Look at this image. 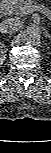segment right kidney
<instances>
[{
    "label": "right kidney",
    "instance_id": "1",
    "mask_svg": "<svg viewBox=\"0 0 51 153\" xmlns=\"http://www.w3.org/2000/svg\"><path fill=\"white\" fill-rule=\"evenodd\" d=\"M0 53H1V60L4 59V53H5V50L3 49V45L0 47Z\"/></svg>",
    "mask_w": 51,
    "mask_h": 153
}]
</instances>
